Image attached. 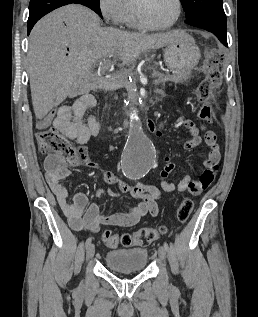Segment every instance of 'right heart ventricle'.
<instances>
[{
	"mask_svg": "<svg viewBox=\"0 0 258 317\" xmlns=\"http://www.w3.org/2000/svg\"><path fill=\"white\" fill-rule=\"evenodd\" d=\"M139 0H126L127 3V15L125 23L130 27H137L135 10Z\"/></svg>",
	"mask_w": 258,
	"mask_h": 317,
	"instance_id": "right-heart-ventricle-1",
	"label": "right heart ventricle"
}]
</instances>
